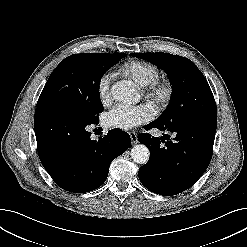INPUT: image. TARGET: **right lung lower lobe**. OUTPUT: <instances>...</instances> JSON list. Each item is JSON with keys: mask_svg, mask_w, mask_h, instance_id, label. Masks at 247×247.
<instances>
[{"mask_svg": "<svg viewBox=\"0 0 247 247\" xmlns=\"http://www.w3.org/2000/svg\"><path fill=\"white\" fill-rule=\"evenodd\" d=\"M56 106H37L34 129L39 158L54 182L64 190L84 193L101 186L111 162L130 146L128 133L115 128L98 141L90 124Z\"/></svg>", "mask_w": 247, "mask_h": 247, "instance_id": "right-lung-lower-lobe-1", "label": "right lung lower lobe"}]
</instances>
